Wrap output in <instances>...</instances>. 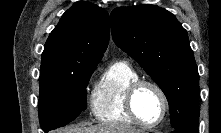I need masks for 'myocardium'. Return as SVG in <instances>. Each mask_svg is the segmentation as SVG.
I'll list each match as a JSON object with an SVG mask.
<instances>
[{"mask_svg":"<svg viewBox=\"0 0 221 133\" xmlns=\"http://www.w3.org/2000/svg\"><path fill=\"white\" fill-rule=\"evenodd\" d=\"M144 86H149V87L153 88L158 93V95L161 99V102H162L161 117L159 118L158 121H156L154 123H147V122L143 121L139 117V115L135 109V97H136L138 91ZM125 105H126V110L129 114V116L137 124H139L143 127H146V128H154V127L159 126L165 120L167 113H168V100H167L164 90L157 83L150 81V80L139 79V80L135 81L134 83H132L126 91Z\"/></svg>","mask_w":221,"mask_h":133,"instance_id":"1","label":"myocardium"}]
</instances>
